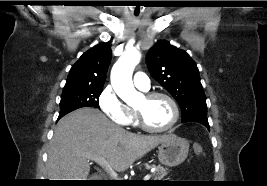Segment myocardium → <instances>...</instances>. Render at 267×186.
Returning a JSON list of instances; mask_svg holds the SVG:
<instances>
[{
  "instance_id": "1",
  "label": "myocardium",
  "mask_w": 267,
  "mask_h": 186,
  "mask_svg": "<svg viewBox=\"0 0 267 186\" xmlns=\"http://www.w3.org/2000/svg\"><path fill=\"white\" fill-rule=\"evenodd\" d=\"M157 97H163L169 101V103L171 104L172 110H173V116H172L170 123L167 124L166 126L161 127V128H153V127H150L146 123L142 111L139 109H135L137 123H138L139 127L146 132L162 133V132L169 131L177 124L179 117H180L179 106H178L176 100L170 94H168L166 92H162V91H153V92L146 93L144 96V98L146 100H151V99H154Z\"/></svg>"
}]
</instances>
